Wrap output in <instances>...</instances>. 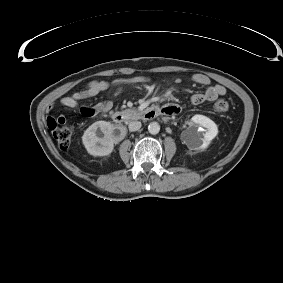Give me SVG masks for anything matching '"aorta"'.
Masks as SVG:
<instances>
[{
  "mask_svg": "<svg viewBox=\"0 0 283 283\" xmlns=\"http://www.w3.org/2000/svg\"><path fill=\"white\" fill-rule=\"evenodd\" d=\"M148 131L152 135H156L160 131V125L157 122H151L148 126Z\"/></svg>",
  "mask_w": 283,
  "mask_h": 283,
  "instance_id": "762f6f07",
  "label": "aorta"
}]
</instances>
